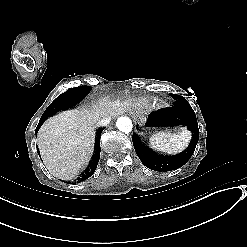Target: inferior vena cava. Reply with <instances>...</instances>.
I'll return each mask as SVG.
<instances>
[{"instance_id": "602c4592", "label": "inferior vena cava", "mask_w": 247, "mask_h": 247, "mask_svg": "<svg viewBox=\"0 0 247 247\" xmlns=\"http://www.w3.org/2000/svg\"><path fill=\"white\" fill-rule=\"evenodd\" d=\"M110 122H111V118L105 117V118L99 119L96 122V126L97 127H107L110 124Z\"/></svg>"}]
</instances>
